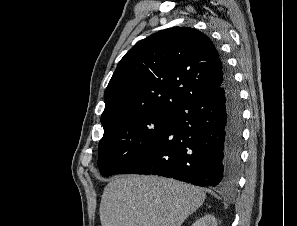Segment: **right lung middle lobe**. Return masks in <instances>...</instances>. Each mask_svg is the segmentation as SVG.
I'll list each match as a JSON object with an SVG mask.
<instances>
[{
  "label": "right lung middle lobe",
  "instance_id": "obj_1",
  "mask_svg": "<svg viewBox=\"0 0 297 226\" xmlns=\"http://www.w3.org/2000/svg\"><path fill=\"white\" fill-rule=\"evenodd\" d=\"M175 114L173 110L151 111L104 128L97 162L101 174H115L133 161L171 126Z\"/></svg>",
  "mask_w": 297,
  "mask_h": 226
}]
</instances>
